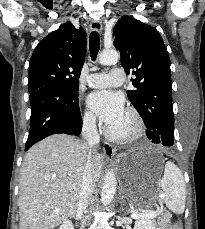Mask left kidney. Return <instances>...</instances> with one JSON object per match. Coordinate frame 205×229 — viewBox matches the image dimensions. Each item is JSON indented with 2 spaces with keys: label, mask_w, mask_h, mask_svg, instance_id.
<instances>
[{
  "label": "left kidney",
  "mask_w": 205,
  "mask_h": 229,
  "mask_svg": "<svg viewBox=\"0 0 205 229\" xmlns=\"http://www.w3.org/2000/svg\"><path fill=\"white\" fill-rule=\"evenodd\" d=\"M134 229H158L150 214H139L136 218Z\"/></svg>",
  "instance_id": "left-kidney-1"
}]
</instances>
